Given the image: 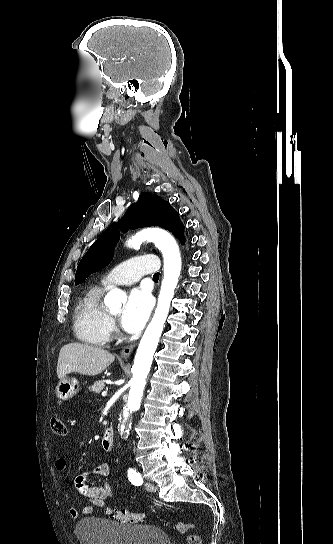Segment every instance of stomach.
<instances>
[{
	"label": "stomach",
	"mask_w": 333,
	"mask_h": 544,
	"mask_svg": "<svg viewBox=\"0 0 333 544\" xmlns=\"http://www.w3.org/2000/svg\"><path fill=\"white\" fill-rule=\"evenodd\" d=\"M80 390L79 382L73 377H63L56 386L57 398L67 401L73 398Z\"/></svg>",
	"instance_id": "0dacf381"
}]
</instances>
